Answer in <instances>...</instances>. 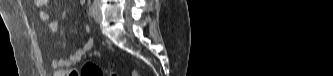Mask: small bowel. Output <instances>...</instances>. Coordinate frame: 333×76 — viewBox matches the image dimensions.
<instances>
[{
    "label": "small bowel",
    "mask_w": 333,
    "mask_h": 76,
    "mask_svg": "<svg viewBox=\"0 0 333 76\" xmlns=\"http://www.w3.org/2000/svg\"><path fill=\"white\" fill-rule=\"evenodd\" d=\"M47 0H37L36 4L41 8L40 18L45 22H49V28L51 31H57L58 27L55 22L50 21V15L44 10V7L48 4ZM84 3V1H81ZM89 31V29L87 28ZM94 41L92 37H89L87 41L78 46L75 51L67 59L55 58L51 61L54 76H65L67 69H69L68 76H84L83 72H80V68H71L79 63L82 57L93 48Z\"/></svg>",
    "instance_id": "c3829d8e"
}]
</instances>
